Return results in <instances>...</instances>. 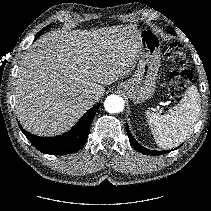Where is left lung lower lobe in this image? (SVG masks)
<instances>
[{"label": "left lung lower lobe", "mask_w": 211, "mask_h": 211, "mask_svg": "<svg viewBox=\"0 0 211 211\" xmlns=\"http://www.w3.org/2000/svg\"><path fill=\"white\" fill-rule=\"evenodd\" d=\"M127 134H128L129 140H130L131 144L133 145V147L143 154H146V155H161V154H165V153L170 152V150H168V151H153V150H149L147 148H144L139 143H137V141L132 137L128 126H127Z\"/></svg>", "instance_id": "1"}]
</instances>
